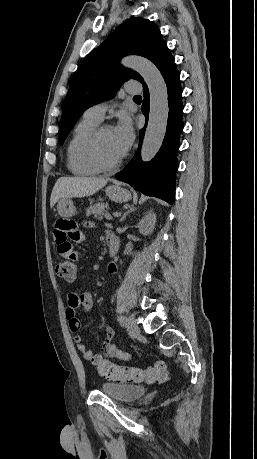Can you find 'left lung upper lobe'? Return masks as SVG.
I'll list each match as a JSON object with an SVG mask.
<instances>
[{"label": "left lung upper lobe", "instance_id": "left-lung-upper-lobe-1", "mask_svg": "<svg viewBox=\"0 0 257 459\" xmlns=\"http://www.w3.org/2000/svg\"><path fill=\"white\" fill-rule=\"evenodd\" d=\"M129 54L146 57L159 67L170 52L160 30L148 19L132 18L120 25L74 73L62 110L60 145L86 109L109 100L129 78L144 83L139 73L120 66L119 60Z\"/></svg>", "mask_w": 257, "mask_h": 459}]
</instances>
